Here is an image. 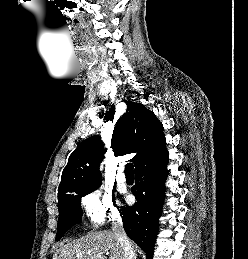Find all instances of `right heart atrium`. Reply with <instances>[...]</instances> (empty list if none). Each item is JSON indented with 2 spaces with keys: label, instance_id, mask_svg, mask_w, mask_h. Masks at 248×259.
<instances>
[{
  "label": "right heart atrium",
  "instance_id": "obj_1",
  "mask_svg": "<svg viewBox=\"0 0 248 259\" xmlns=\"http://www.w3.org/2000/svg\"><path fill=\"white\" fill-rule=\"evenodd\" d=\"M82 204L94 225L103 224L118 213L111 192L100 187L86 193L82 198Z\"/></svg>",
  "mask_w": 248,
  "mask_h": 259
}]
</instances>
